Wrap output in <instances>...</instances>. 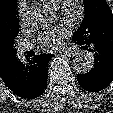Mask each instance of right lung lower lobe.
Listing matches in <instances>:
<instances>
[{"label":"right lung lower lobe","mask_w":113,"mask_h":113,"mask_svg":"<svg viewBox=\"0 0 113 113\" xmlns=\"http://www.w3.org/2000/svg\"><path fill=\"white\" fill-rule=\"evenodd\" d=\"M53 54L34 55L26 63L15 59L8 76L3 80L6 86L23 99L41 96L47 87V65Z\"/></svg>","instance_id":"obj_1"}]
</instances>
